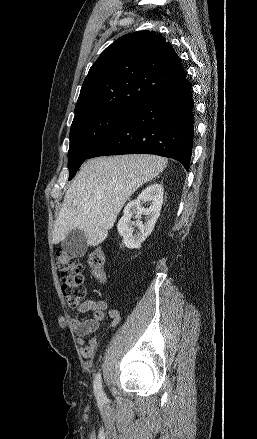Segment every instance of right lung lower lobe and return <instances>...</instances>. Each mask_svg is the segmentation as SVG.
I'll return each mask as SVG.
<instances>
[{
    "label": "right lung lower lobe",
    "mask_w": 257,
    "mask_h": 439,
    "mask_svg": "<svg viewBox=\"0 0 257 439\" xmlns=\"http://www.w3.org/2000/svg\"><path fill=\"white\" fill-rule=\"evenodd\" d=\"M194 136V106L189 81L157 93L125 118L89 158L148 153L179 161L188 171Z\"/></svg>",
    "instance_id": "right-lung-lower-lobe-1"
}]
</instances>
